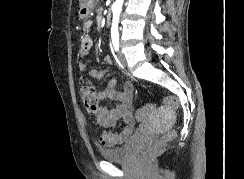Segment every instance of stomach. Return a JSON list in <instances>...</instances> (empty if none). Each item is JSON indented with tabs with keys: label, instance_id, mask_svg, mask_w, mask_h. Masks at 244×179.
Here are the masks:
<instances>
[{
	"label": "stomach",
	"instance_id": "obj_1",
	"mask_svg": "<svg viewBox=\"0 0 244 179\" xmlns=\"http://www.w3.org/2000/svg\"><path fill=\"white\" fill-rule=\"evenodd\" d=\"M93 0H80L79 18L84 20L91 12Z\"/></svg>",
	"mask_w": 244,
	"mask_h": 179
}]
</instances>
